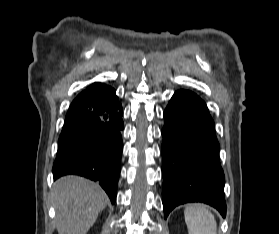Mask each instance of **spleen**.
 <instances>
[{
  "mask_svg": "<svg viewBox=\"0 0 279 234\" xmlns=\"http://www.w3.org/2000/svg\"><path fill=\"white\" fill-rule=\"evenodd\" d=\"M184 216L189 234H217L214 215L202 204H194L185 208Z\"/></svg>",
  "mask_w": 279,
  "mask_h": 234,
  "instance_id": "1",
  "label": "spleen"
}]
</instances>
